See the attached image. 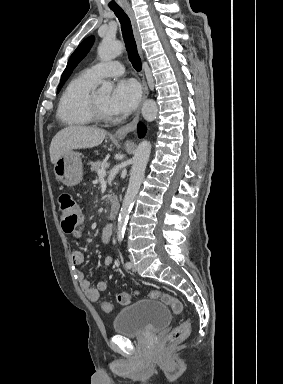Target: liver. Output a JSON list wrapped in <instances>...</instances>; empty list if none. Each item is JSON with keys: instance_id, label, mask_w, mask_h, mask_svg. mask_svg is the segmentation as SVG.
<instances>
[{"instance_id": "6515ba94", "label": "liver", "mask_w": 283, "mask_h": 384, "mask_svg": "<svg viewBox=\"0 0 283 384\" xmlns=\"http://www.w3.org/2000/svg\"><path fill=\"white\" fill-rule=\"evenodd\" d=\"M107 132L99 128H87V126H68L60 130L54 136L49 152L52 164H56L58 158L81 148H95L102 144Z\"/></svg>"}]
</instances>
